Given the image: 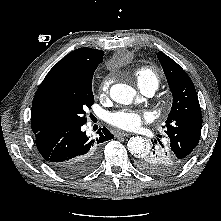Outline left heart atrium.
I'll return each mask as SVG.
<instances>
[{"mask_svg": "<svg viewBox=\"0 0 221 221\" xmlns=\"http://www.w3.org/2000/svg\"><path fill=\"white\" fill-rule=\"evenodd\" d=\"M146 118L147 115L130 109L111 112L106 116L108 123L124 130H135Z\"/></svg>", "mask_w": 221, "mask_h": 221, "instance_id": "left-heart-atrium-1", "label": "left heart atrium"}]
</instances>
